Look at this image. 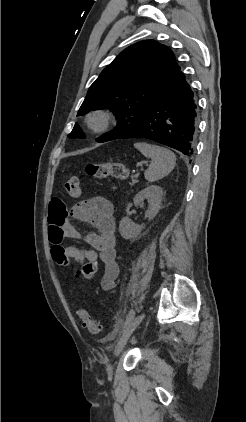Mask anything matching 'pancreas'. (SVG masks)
I'll return each mask as SVG.
<instances>
[{
    "mask_svg": "<svg viewBox=\"0 0 246 422\" xmlns=\"http://www.w3.org/2000/svg\"><path fill=\"white\" fill-rule=\"evenodd\" d=\"M138 180L136 179V177H132V182L130 183L131 186H133L135 183H137Z\"/></svg>",
    "mask_w": 246,
    "mask_h": 422,
    "instance_id": "1",
    "label": "pancreas"
}]
</instances>
